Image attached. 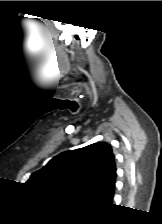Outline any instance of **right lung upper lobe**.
<instances>
[{
	"instance_id": "right-lung-upper-lobe-1",
	"label": "right lung upper lobe",
	"mask_w": 162,
	"mask_h": 224,
	"mask_svg": "<svg viewBox=\"0 0 162 224\" xmlns=\"http://www.w3.org/2000/svg\"><path fill=\"white\" fill-rule=\"evenodd\" d=\"M116 165L107 143L65 151L34 172L27 185L56 193L80 196L92 205L113 200Z\"/></svg>"
}]
</instances>
